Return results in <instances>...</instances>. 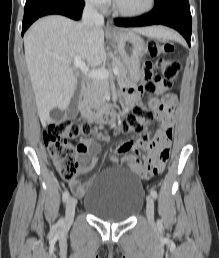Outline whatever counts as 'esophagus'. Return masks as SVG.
<instances>
[{
  "instance_id": "esophagus-1",
  "label": "esophagus",
  "mask_w": 219,
  "mask_h": 258,
  "mask_svg": "<svg viewBox=\"0 0 219 258\" xmlns=\"http://www.w3.org/2000/svg\"><path fill=\"white\" fill-rule=\"evenodd\" d=\"M107 30L110 32H115L114 27L110 23L107 24Z\"/></svg>"
}]
</instances>
